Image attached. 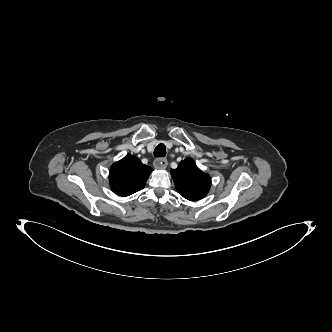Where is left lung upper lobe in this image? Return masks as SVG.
<instances>
[{
	"label": "left lung upper lobe",
	"instance_id": "left-lung-upper-lobe-1",
	"mask_svg": "<svg viewBox=\"0 0 332 332\" xmlns=\"http://www.w3.org/2000/svg\"><path fill=\"white\" fill-rule=\"evenodd\" d=\"M171 176L178 193L190 201L205 197L211 186L210 176L202 172L192 158L181 161L171 170Z\"/></svg>",
	"mask_w": 332,
	"mask_h": 332
}]
</instances>
